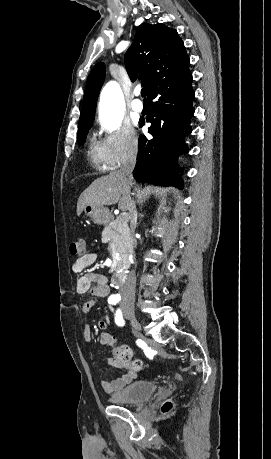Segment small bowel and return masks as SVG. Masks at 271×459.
<instances>
[{"label":"small bowel","instance_id":"1","mask_svg":"<svg viewBox=\"0 0 271 459\" xmlns=\"http://www.w3.org/2000/svg\"><path fill=\"white\" fill-rule=\"evenodd\" d=\"M97 257L96 252H89L76 259L72 265L73 271L80 274L76 284L77 292L79 294L90 293L93 296L92 299L83 305L82 311L84 314H88L97 300L107 296L109 292L107 279L104 275L94 272H85L87 267L96 262ZM97 327L101 330H106V321L103 319L98 320ZM83 336L88 342L92 340L93 333L89 324L84 326ZM100 342L110 347L114 344L115 339L111 334L104 332L100 336ZM106 363L108 367L123 370L119 376L112 380H103L101 382V387L106 393H112L122 389L135 378V372L124 365L116 356L109 357Z\"/></svg>","mask_w":271,"mask_h":459}]
</instances>
